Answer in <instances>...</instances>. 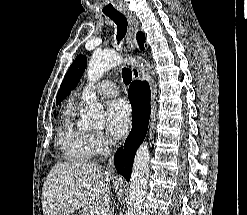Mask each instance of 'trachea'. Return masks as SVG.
I'll return each instance as SVG.
<instances>
[{
  "label": "trachea",
  "instance_id": "1",
  "mask_svg": "<svg viewBox=\"0 0 247 215\" xmlns=\"http://www.w3.org/2000/svg\"><path fill=\"white\" fill-rule=\"evenodd\" d=\"M109 18H111L117 25V35L116 39L118 43L125 37L127 32L128 22L126 17L120 12H113L106 14ZM122 78L126 85H129L132 80V71L129 68L122 69Z\"/></svg>",
  "mask_w": 247,
  "mask_h": 215
}]
</instances>
